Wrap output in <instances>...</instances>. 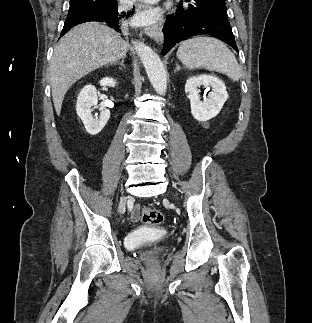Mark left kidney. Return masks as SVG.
I'll use <instances>...</instances> for the list:
<instances>
[{
  "mask_svg": "<svg viewBox=\"0 0 312 323\" xmlns=\"http://www.w3.org/2000/svg\"><path fill=\"white\" fill-rule=\"evenodd\" d=\"M199 86H204L207 90L212 88V92L208 94V98L205 96L203 102L200 100ZM185 92L190 100L191 114L198 122L215 118L228 98L224 82L216 76H192L185 84Z\"/></svg>",
  "mask_w": 312,
  "mask_h": 323,
  "instance_id": "1",
  "label": "left kidney"
}]
</instances>
